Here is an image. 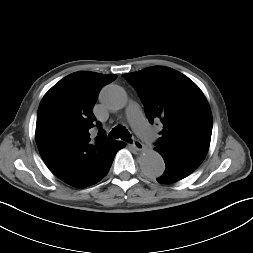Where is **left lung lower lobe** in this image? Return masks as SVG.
<instances>
[{
  "mask_svg": "<svg viewBox=\"0 0 253 253\" xmlns=\"http://www.w3.org/2000/svg\"><path fill=\"white\" fill-rule=\"evenodd\" d=\"M161 155L164 158L166 169L164 174L157 179L160 183H174L179 181L191 174L201 164L198 161L187 158L173 157L165 154Z\"/></svg>",
  "mask_w": 253,
  "mask_h": 253,
  "instance_id": "left-lung-lower-lobe-1",
  "label": "left lung lower lobe"
}]
</instances>
